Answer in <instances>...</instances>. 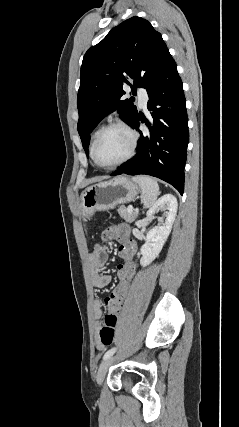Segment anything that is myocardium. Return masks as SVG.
<instances>
[{
  "label": "myocardium",
  "mask_w": 239,
  "mask_h": 427,
  "mask_svg": "<svg viewBox=\"0 0 239 427\" xmlns=\"http://www.w3.org/2000/svg\"><path fill=\"white\" fill-rule=\"evenodd\" d=\"M112 128H121V129L125 130L131 137V146H130V149H129V152L127 153V155L124 158H122L120 161H118L112 165H104L97 160L96 148H97V145H98L102 135L106 131H108ZM138 138H139V136H138L137 131L130 124H128L127 122H125L123 120H114V121L106 124L105 126H103L98 131V133H97V135L93 141L91 151H90L92 160L94 161V163L98 167H100L102 169H106V170L115 169V168L125 164L126 162H128L130 159L133 158V156L136 153L137 146H138Z\"/></svg>",
  "instance_id": "f54148a6"
}]
</instances>
